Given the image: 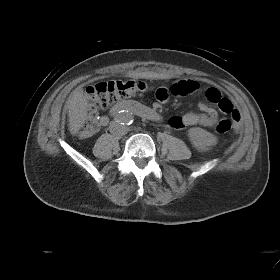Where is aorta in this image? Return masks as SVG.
Returning a JSON list of instances; mask_svg holds the SVG:
<instances>
[{
	"instance_id": "aorta-1",
	"label": "aorta",
	"mask_w": 280,
	"mask_h": 280,
	"mask_svg": "<svg viewBox=\"0 0 280 280\" xmlns=\"http://www.w3.org/2000/svg\"><path fill=\"white\" fill-rule=\"evenodd\" d=\"M133 116L132 113H130L129 111H121L118 115V121L121 124H128L130 121H132Z\"/></svg>"
}]
</instances>
